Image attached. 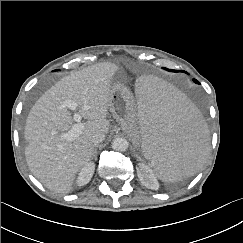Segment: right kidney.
Wrapping results in <instances>:
<instances>
[{"instance_id":"right-kidney-1","label":"right kidney","mask_w":243,"mask_h":243,"mask_svg":"<svg viewBox=\"0 0 243 243\" xmlns=\"http://www.w3.org/2000/svg\"><path fill=\"white\" fill-rule=\"evenodd\" d=\"M95 170L94 163H88L86 166H84L80 173L78 174L76 184L78 186H84L86 185L92 178Z\"/></svg>"}]
</instances>
